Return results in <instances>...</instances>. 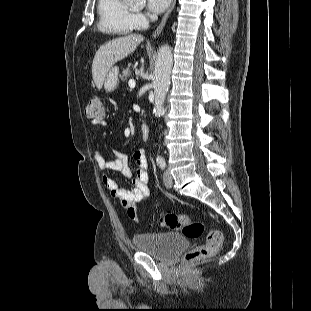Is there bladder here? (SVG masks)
Segmentation results:
<instances>
[{"label":"bladder","instance_id":"bladder-1","mask_svg":"<svg viewBox=\"0 0 311 311\" xmlns=\"http://www.w3.org/2000/svg\"><path fill=\"white\" fill-rule=\"evenodd\" d=\"M132 243L138 252L153 254L162 261H170L189 246L187 237L177 232L134 234Z\"/></svg>","mask_w":311,"mask_h":311}]
</instances>
